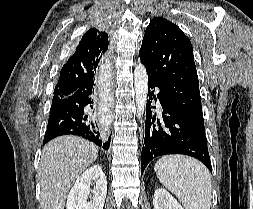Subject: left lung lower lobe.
<instances>
[{"instance_id": "obj_1", "label": "left lung lower lobe", "mask_w": 253, "mask_h": 209, "mask_svg": "<svg viewBox=\"0 0 253 209\" xmlns=\"http://www.w3.org/2000/svg\"><path fill=\"white\" fill-rule=\"evenodd\" d=\"M158 87L159 102L162 106V120L151 111L152 89ZM148 96L146 105L145 138L141 153V175L147 164L155 157L167 154H184L201 161L212 172L205 131L199 130L186 121L171 105L164 89L148 76Z\"/></svg>"}]
</instances>
